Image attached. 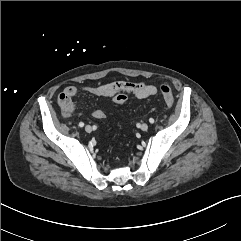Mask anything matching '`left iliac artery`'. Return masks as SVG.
<instances>
[{
    "label": "left iliac artery",
    "instance_id": "1",
    "mask_svg": "<svg viewBox=\"0 0 241 241\" xmlns=\"http://www.w3.org/2000/svg\"><path fill=\"white\" fill-rule=\"evenodd\" d=\"M149 122H150L151 124H153V123H154V119H153V118H150V119H149Z\"/></svg>",
    "mask_w": 241,
    "mask_h": 241
}]
</instances>
